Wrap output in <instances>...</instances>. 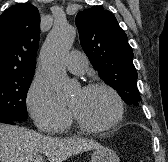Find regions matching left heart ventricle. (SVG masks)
<instances>
[{"instance_id":"obj_1","label":"left heart ventricle","mask_w":168,"mask_h":162,"mask_svg":"<svg viewBox=\"0 0 168 162\" xmlns=\"http://www.w3.org/2000/svg\"><path fill=\"white\" fill-rule=\"evenodd\" d=\"M69 105L82 121L90 125L105 124L116 113L115 101L105 90H79L72 96Z\"/></svg>"}]
</instances>
